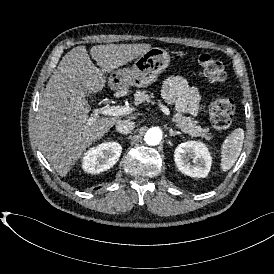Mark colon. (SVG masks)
I'll return each instance as SVG.
<instances>
[{
  "label": "colon",
  "instance_id": "5ec220e1",
  "mask_svg": "<svg viewBox=\"0 0 274 274\" xmlns=\"http://www.w3.org/2000/svg\"><path fill=\"white\" fill-rule=\"evenodd\" d=\"M197 63L203 73L215 83H223L227 79V73L223 64L210 54H200ZM235 114L232 100L223 93H216L209 106V116L213 126L217 129H227L231 126Z\"/></svg>",
  "mask_w": 274,
  "mask_h": 274
}]
</instances>
